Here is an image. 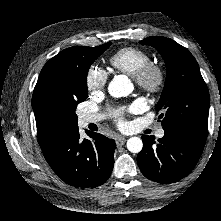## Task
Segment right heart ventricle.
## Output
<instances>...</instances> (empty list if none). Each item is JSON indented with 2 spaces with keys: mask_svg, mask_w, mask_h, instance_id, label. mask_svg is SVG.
<instances>
[{
  "mask_svg": "<svg viewBox=\"0 0 221 221\" xmlns=\"http://www.w3.org/2000/svg\"><path fill=\"white\" fill-rule=\"evenodd\" d=\"M150 56L136 47H124L116 50L109 56L108 62L111 67L119 72L136 78L139 70L150 63Z\"/></svg>",
  "mask_w": 221,
  "mask_h": 221,
  "instance_id": "1",
  "label": "right heart ventricle"
}]
</instances>
